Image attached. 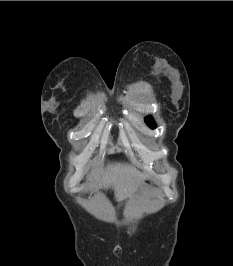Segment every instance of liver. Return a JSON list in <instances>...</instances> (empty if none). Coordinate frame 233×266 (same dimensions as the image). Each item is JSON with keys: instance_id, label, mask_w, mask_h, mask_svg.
I'll return each instance as SVG.
<instances>
[{"instance_id": "1", "label": "liver", "mask_w": 233, "mask_h": 266, "mask_svg": "<svg viewBox=\"0 0 233 266\" xmlns=\"http://www.w3.org/2000/svg\"><path fill=\"white\" fill-rule=\"evenodd\" d=\"M93 176L98 180V188L114 190L117 201L125 198L144 178V175L134 167L121 163L108 164L101 178L97 173Z\"/></svg>"}]
</instances>
